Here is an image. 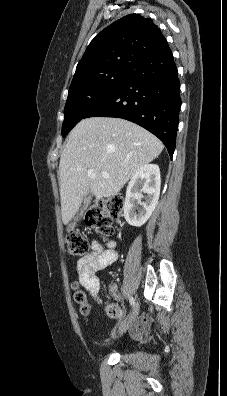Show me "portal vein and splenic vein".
<instances>
[{"label": "portal vein and splenic vein", "instance_id": "1", "mask_svg": "<svg viewBox=\"0 0 227 396\" xmlns=\"http://www.w3.org/2000/svg\"><path fill=\"white\" fill-rule=\"evenodd\" d=\"M87 175H88V177H90V178H95V177H96V173H95L94 170H92V169H89V170L87 171ZM102 176L105 177V178H108V177H109V174H108L107 172H102Z\"/></svg>", "mask_w": 227, "mask_h": 396}]
</instances>
